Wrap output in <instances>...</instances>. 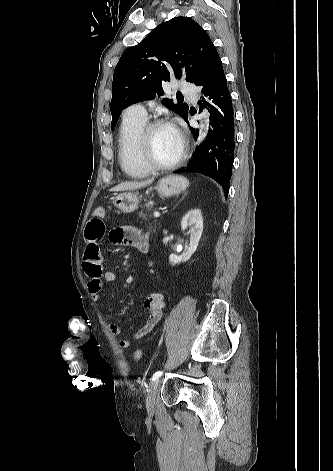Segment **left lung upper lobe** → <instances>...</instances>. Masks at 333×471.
Segmentation results:
<instances>
[{"label":"left lung upper lobe","mask_w":333,"mask_h":471,"mask_svg":"<svg viewBox=\"0 0 333 471\" xmlns=\"http://www.w3.org/2000/svg\"><path fill=\"white\" fill-rule=\"evenodd\" d=\"M216 48L206 31L188 17H175L161 23L138 45L126 50L113 75L111 114L113 128L123 109L139 101L163 95L162 84L171 77L196 84ZM169 109L187 116L185 103L162 101Z\"/></svg>","instance_id":"obj_1"}]
</instances>
